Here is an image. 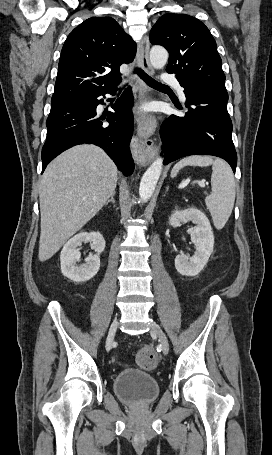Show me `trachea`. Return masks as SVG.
Listing matches in <instances>:
<instances>
[{"instance_id":"trachea-1","label":"trachea","mask_w":272,"mask_h":455,"mask_svg":"<svg viewBox=\"0 0 272 455\" xmlns=\"http://www.w3.org/2000/svg\"><path fill=\"white\" fill-rule=\"evenodd\" d=\"M135 73L139 75V77L144 80L149 86L151 87H167L166 85H163L154 79H152L149 75H147L142 69L140 68H135Z\"/></svg>"}]
</instances>
